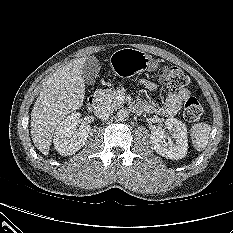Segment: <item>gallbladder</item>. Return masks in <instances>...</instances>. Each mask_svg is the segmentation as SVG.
Listing matches in <instances>:
<instances>
[{
	"instance_id": "gallbladder-1",
	"label": "gallbladder",
	"mask_w": 233,
	"mask_h": 233,
	"mask_svg": "<svg viewBox=\"0 0 233 233\" xmlns=\"http://www.w3.org/2000/svg\"><path fill=\"white\" fill-rule=\"evenodd\" d=\"M99 60L94 56H89L82 69V78L87 85L95 83L98 72L100 71Z\"/></svg>"
}]
</instances>
